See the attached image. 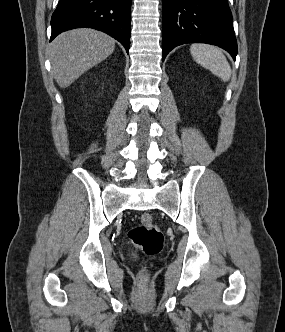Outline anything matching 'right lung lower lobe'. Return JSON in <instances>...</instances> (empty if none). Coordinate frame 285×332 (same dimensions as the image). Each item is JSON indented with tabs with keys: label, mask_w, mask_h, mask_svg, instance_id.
I'll use <instances>...</instances> for the list:
<instances>
[{
	"label": "right lung lower lobe",
	"mask_w": 285,
	"mask_h": 332,
	"mask_svg": "<svg viewBox=\"0 0 285 332\" xmlns=\"http://www.w3.org/2000/svg\"><path fill=\"white\" fill-rule=\"evenodd\" d=\"M131 0H60L51 18L52 41L61 32L94 28L118 40L129 53Z\"/></svg>",
	"instance_id": "98d812e1"
}]
</instances>
